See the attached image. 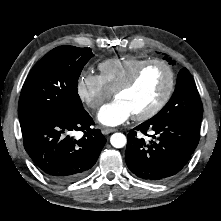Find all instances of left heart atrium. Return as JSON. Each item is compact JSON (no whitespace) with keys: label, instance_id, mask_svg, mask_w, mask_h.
Wrapping results in <instances>:
<instances>
[{"label":"left heart atrium","instance_id":"obj_1","mask_svg":"<svg viewBox=\"0 0 221 221\" xmlns=\"http://www.w3.org/2000/svg\"><path fill=\"white\" fill-rule=\"evenodd\" d=\"M132 116L130 108L120 99L104 105L98 113V120L106 126H117Z\"/></svg>","mask_w":221,"mask_h":221}]
</instances>
